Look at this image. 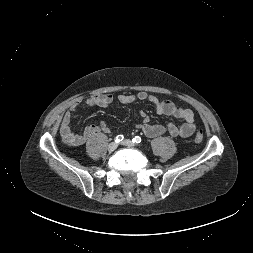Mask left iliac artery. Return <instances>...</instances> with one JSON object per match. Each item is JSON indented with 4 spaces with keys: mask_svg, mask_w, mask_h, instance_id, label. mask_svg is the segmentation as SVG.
Returning a JSON list of instances; mask_svg holds the SVG:
<instances>
[{
    "mask_svg": "<svg viewBox=\"0 0 253 253\" xmlns=\"http://www.w3.org/2000/svg\"><path fill=\"white\" fill-rule=\"evenodd\" d=\"M132 142H133V143H136V144L141 143V137H140V136H135V137L132 139Z\"/></svg>",
    "mask_w": 253,
    "mask_h": 253,
    "instance_id": "left-iliac-artery-1",
    "label": "left iliac artery"
}]
</instances>
